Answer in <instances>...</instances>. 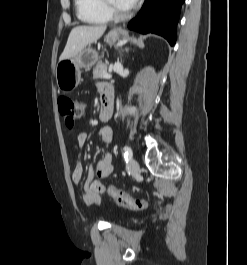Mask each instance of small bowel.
Instances as JSON below:
<instances>
[{
  "label": "small bowel",
  "instance_id": "1",
  "mask_svg": "<svg viewBox=\"0 0 247 265\" xmlns=\"http://www.w3.org/2000/svg\"><path fill=\"white\" fill-rule=\"evenodd\" d=\"M101 94L104 90L110 88L106 83H99L98 85ZM111 89V88H110ZM99 137L102 144L108 147L112 142V130L109 127H103L99 131ZM88 140V135L82 132L77 137V144L80 148L84 147ZM113 172L112 155L106 152L104 156L98 161L95 167L90 166L87 170V178L84 184L82 199L85 204L90 206H99L100 194L106 191V185L103 179L110 176ZM95 176L97 179H95ZM83 177V166L78 162L72 172V180L78 184Z\"/></svg>",
  "mask_w": 247,
  "mask_h": 265
}]
</instances>
